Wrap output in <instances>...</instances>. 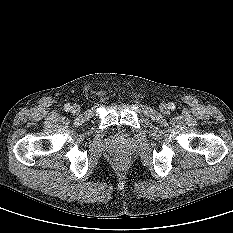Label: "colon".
<instances>
[{"instance_id": "colon-1", "label": "colon", "mask_w": 233, "mask_h": 233, "mask_svg": "<svg viewBox=\"0 0 233 233\" xmlns=\"http://www.w3.org/2000/svg\"><path fill=\"white\" fill-rule=\"evenodd\" d=\"M124 162H125V160L123 158H121V159L118 160L119 164H124Z\"/></svg>"}]
</instances>
